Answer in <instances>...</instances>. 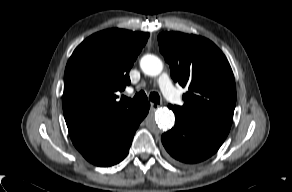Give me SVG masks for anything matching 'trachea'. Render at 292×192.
<instances>
[{
	"mask_svg": "<svg viewBox=\"0 0 292 192\" xmlns=\"http://www.w3.org/2000/svg\"><path fill=\"white\" fill-rule=\"evenodd\" d=\"M122 99L127 101V102L139 103V102L146 101L147 100V95H146V93L144 91H140L132 99L128 98L126 96H122ZM149 100H151L152 102H155V103H159L160 102V96L158 95V93L152 92L149 95Z\"/></svg>",
	"mask_w": 292,
	"mask_h": 192,
	"instance_id": "obj_1",
	"label": "trachea"
}]
</instances>
